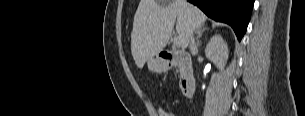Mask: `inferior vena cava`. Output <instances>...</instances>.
Listing matches in <instances>:
<instances>
[{"instance_id": "602c4592", "label": "inferior vena cava", "mask_w": 305, "mask_h": 116, "mask_svg": "<svg viewBox=\"0 0 305 116\" xmlns=\"http://www.w3.org/2000/svg\"><path fill=\"white\" fill-rule=\"evenodd\" d=\"M195 50H196V44H195V40L193 37V33L191 32L190 34V51L192 53V55L195 54Z\"/></svg>"}]
</instances>
